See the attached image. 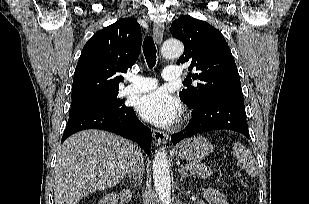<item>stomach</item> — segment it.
Returning <instances> with one entry per match:
<instances>
[{
    "mask_svg": "<svg viewBox=\"0 0 309 204\" xmlns=\"http://www.w3.org/2000/svg\"><path fill=\"white\" fill-rule=\"evenodd\" d=\"M212 144L202 136H194L180 142L176 148V156L188 161H201L212 151Z\"/></svg>",
    "mask_w": 309,
    "mask_h": 204,
    "instance_id": "1",
    "label": "stomach"
}]
</instances>
